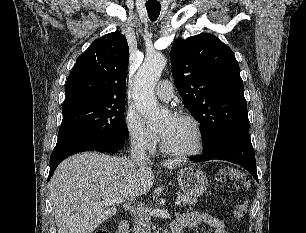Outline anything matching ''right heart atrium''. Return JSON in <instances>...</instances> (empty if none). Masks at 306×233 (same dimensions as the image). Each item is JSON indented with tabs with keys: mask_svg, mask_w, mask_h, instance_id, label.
<instances>
[{
	"mask_svg": "<svg viewBox=\"0 0 306 233\" xmlns=\"http://www.w3.org/2000/svg\"><path fill=\"white\" fill-rule=\"evenodd\" d=\"M125 129L131 146L140 151L152 154L159 143L157 133L146 124L141 114L136 110H129L125 117Z\"/></svg>",
	"mask_w": 306,
	"mask_h": 233,
	"instance_id": "right-heart-atrium-1",
	"label": "right heart atrium"
}]
</instances>
